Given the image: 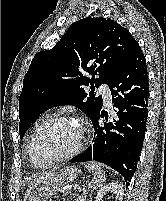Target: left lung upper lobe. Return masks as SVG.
Listing matches in <instances>:
<instances>
[{"label": "left lung upper lobe", "instance_id": "obj_1", "mask_svg": "<svg viewBox=\"0 0 166 201\" xmlns=\"http://www.w3.org/2000/svg\"><path fill=\"white\" fill-rule=\"evenodd\" d=\"M137 44L126 28L111 19L87 17L72 23L52 49L34 56L24 76L20 138L41 113L55 106L73 104L92 120L102 107V96L87 95L84 86L109 85Z\"/></svg>", "mask_w": 166, "mask_h": 201}]
</instances>
